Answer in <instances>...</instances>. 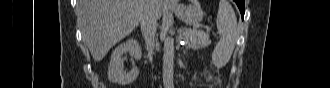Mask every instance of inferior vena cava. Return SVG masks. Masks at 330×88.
Wrapping results in <instances>:
<instances>
[{
  "mask_svg": "<svg viewBox=\"0 0 330 88\" xmlns=\"http://www.w3.org/2000/svg\"><path fill=\"white\" fill-rule=\"evenodd\" d=\"M147 7L141 15V32L145 40L148 57L152 61V52L155 47V35L157 28L156 0H147Z\"/></svg>",
  "mask_w": 330,
  "mask_h": 88,
  "instance_id": "602c4592",
  "label": "inferior vena cava"
}]
</instances>
